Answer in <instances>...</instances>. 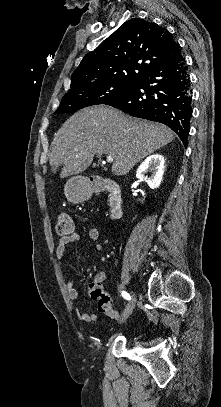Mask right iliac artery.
Segmentation results:
<instances>
[{"mask_svg": "<svg viewBox=\"0 0 221 407\" xmlns=\"http://www.w3.org/2000/svg\"><path fill=\"white\" fill-rule=\"evenodd\" d=\"M122 296H123L125 299H127V300H130V299H131L130 295H129L127 292H125V291L122 292Z\"/></svg>", "mask_w": 221, "mask_h": 407, "instance_id": "1", "label": "right iliac artery"}]
</instances>
